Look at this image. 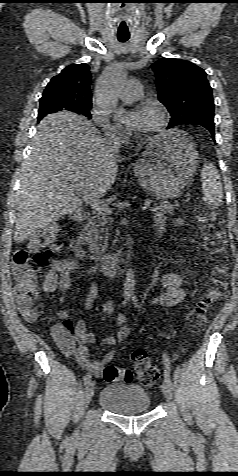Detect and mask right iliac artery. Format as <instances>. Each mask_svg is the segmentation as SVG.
<instances>
[{
    "mask_svg": "<svg viewBox=\"0 0 238 476\" xmlns=\"http://www.w3.org/2000/svg\"><path fill=\"white\" fill-rule=\"evenodd\" d=\"M92 378L91 373H86L84 376V384H87Z\"/></svg>",
    "mask_w": 238,
    "mask_h": 476,
    "instance_id": "82829eb1",
    "label": "right iliac artery"
}]
</instances>
